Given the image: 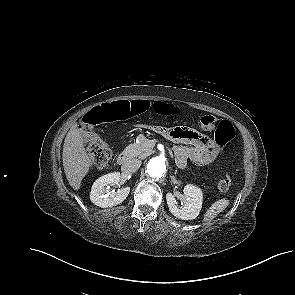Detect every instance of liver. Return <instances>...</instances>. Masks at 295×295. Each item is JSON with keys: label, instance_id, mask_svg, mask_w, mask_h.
Listing matches in <instances>:
<instances>
[{"label": "liver", "instance_id": "liver-1", "mask_svg": "<svg viewBox=\"0 0 295 295\" xmlns=\"http://www.w3.org/2000/svg\"><path fill=\"white\" fill-rule=\"evenodd\" d=\"M62 156L66 178L70 186L78 190L92 163L84 147L83 137L76 126L70 129L65 138Z\"/></svg>", "mask_w": 295, "mask_h": 295}]
</instances>
